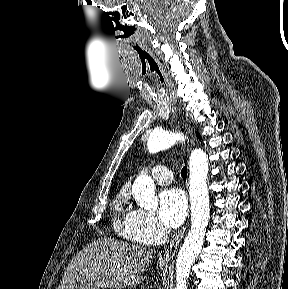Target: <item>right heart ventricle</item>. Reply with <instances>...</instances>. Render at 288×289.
Returning <instances> with one entry per match:
<instances>
[{
	"label": "right heart ventricle",
	"instance_id": "obj_1",
	"mask_svg": "<svg viewBox=\"0 0 288 289\" xmlns=\"http://www.w3.org/2000/svg\"><path fill=\"white\" fill-rule=\"evenodd\" d=\"M115 210H116V220H115V229L116 231L127 238H130L136 241L130 234L127 222L132 214V209L128 206V194L125 190H121L115 200Z\"/></svg>",
	"mask_w": 288,
	"mask_h": 289
}]
</instances>
